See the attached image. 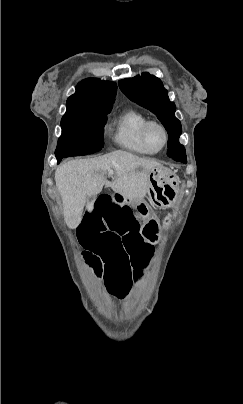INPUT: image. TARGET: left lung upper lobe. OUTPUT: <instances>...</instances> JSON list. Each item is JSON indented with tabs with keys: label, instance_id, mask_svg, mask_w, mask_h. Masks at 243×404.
<instances>
[{
	"label": "left lung upper lobe",
	"instance_id": "5c2ea615",
	"mask_svg": "<svg viewBox=\"0 0 243 404\" xmlns=\"http://www.w3.org/2000/svg\"><path fill=\"white\" fill-rule=\"evenodd\" d=\"M121 91L132 101L149 109L169 134L167 155L175 161H187L185 148L179 143L180 121L174 116L176 107L169 100L161 80L149 73L119 81Z\"/></svg>",
	"mask_w": 243,
	"mask_h": 404
}]
</instances>
